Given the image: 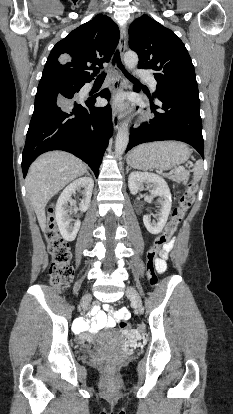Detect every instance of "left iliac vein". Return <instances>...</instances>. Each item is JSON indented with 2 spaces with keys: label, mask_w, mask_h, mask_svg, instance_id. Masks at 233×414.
<instances>
[{
  "label": "left iliac vein",
  "mask_w": 233,
  "mask_h": 414,
  "mask_svg": "<svg viewBox=\"0 0 233 414\" xmlns=\"http://www.w3.org/2000/svg\"><path fill=\"white\" fill-rule=\"evenodd\" d=\"M127 297L131 300V302L134 304L136 309L141 312L142 309V301L138 294V292L133 287H128L127 289Z\"/></svg>",
  "instance_id": "1"
}]
</instances>
